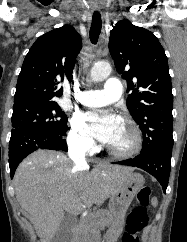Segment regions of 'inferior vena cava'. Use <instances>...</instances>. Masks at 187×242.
Returning <instances> with one entry per match:
<instances>
[{"label":"inferior vena cava","mask_w":187,"mask_h":242,"mask_svg":"<svg viewBox=\"0 0 187 242\" xmlns=\"http://www.w3.org/2000/svg\"><path fill=\"white\" fill-rule=\"evenodd\" d=\"M69 157L77 166H85V148L81 145H74L69 149Z\"/></svg>","instance_id":"obj_1"}]
</instances>
